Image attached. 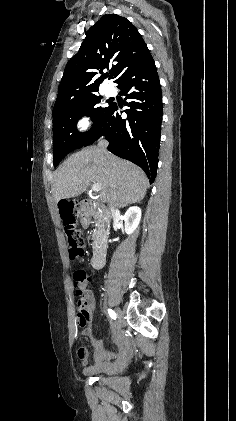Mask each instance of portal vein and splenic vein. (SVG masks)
I'll return each instance as SVG.
<instances>
[{
  "label": "portal vein and splenic vein",
  "instance_id": "portal-vein-and-splenic-vein-1",
  "mask_svg": "<svg viewBox=\"0 0 236 421\" xmlns=\"http://www.w3.org/2000/svg\"><path fill=\"white\" fill-rule=\"evenodd\" d=\"M92 190H95V192H98V190H101V184H99V182H93Z\"/></svg>",
  "mask_w": 236,
  "mask_h": 421
}]
</instances>
